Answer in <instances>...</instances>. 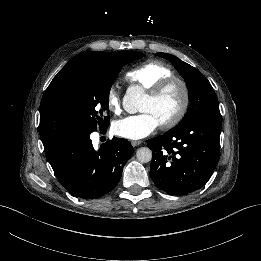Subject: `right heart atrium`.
I'll use <instances>...</instances> for the list:
<instances>
[{
	"mask_svg": "<svg viewBox=\"0 0 261 261\" xmlns=\"http://www.w3.org/2000/svg\"><path fill=\"white\" fill-rule=\"evenodd\" d=\"M106 103L109 110L116 114H120L122 111V101L117 90L112 87L106 97Z\"/></svg>",
	"mask_w": 261,
	"mask_h": 261,
	"instance_id": "1",
	"label": "right heart atrium"
}]
</instances>
